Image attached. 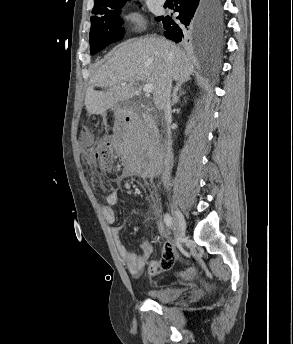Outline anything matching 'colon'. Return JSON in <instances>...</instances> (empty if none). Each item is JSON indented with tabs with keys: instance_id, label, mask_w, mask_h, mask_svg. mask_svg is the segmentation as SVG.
Here are the masks:
<instances>
[{
	"instance_id": "1",
	"label": "colon",
	"mask_w": 293,
	"mask_h": 344,
	"mask_svg": "<svg viewBox=\"0 0 293 344\" xmlns=\"http://www.w3.org/2000/svg\"><path fill=\"white\" fill-rule=\"evenodd\" d=\"M85 138H89V132L85 131L83 133ZM95 164L97 169L102 173H110L114 171V157L112 151V145L108 141L101 142L96 149L95 153ZM105 186L109 190H113L115 187L113 180H106ZM194 274L192 268L186 269L182 273L183 278H189Z\"/></svg>"
}]
</instances>
